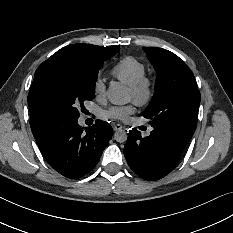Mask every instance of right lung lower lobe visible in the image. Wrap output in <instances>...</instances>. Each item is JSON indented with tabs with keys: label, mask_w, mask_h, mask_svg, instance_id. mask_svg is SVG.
I'll list each match as a JSON object with an SVG mask.
<instances>
[{
	"label": "right lung lower lobe",
	"mask_w": 233,
	"mask_h": 233,
	"mask_svg": "<svg viewBox=\"0 0 233 233\" xmlns=\"http://www.w3.org/2000/svg\"><path fill=\"white\" fill-rule=\"evenodd\" d=\"M46 161L65 177L76 179L89 173L113 135L109 123L97 120L82 128L78 118L45 121L31 125Z\"/></svg>",
	"instance_id": "obj_1"
}]
</instances>
